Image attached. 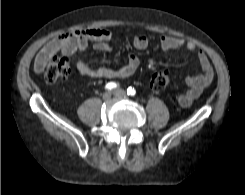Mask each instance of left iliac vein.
<instances>
[{"mask_svg": "<svg viewBox=\"0 0 245 195\" xmlns=\"http://www.w3.org/2000/svg\"><path fill=\"white\" fill-rule=\"evenodd\" d=\"M113 93H114V95L120 96V97H123V96L126 95L125 91L124 90H121V89H117Z\"/></svg>", "mask_w": 245, "mask_h": 195, "instance_id": "left-iliac-vein-1", "label": "left iliac vein"}]
</instances>
